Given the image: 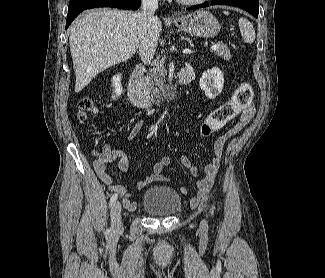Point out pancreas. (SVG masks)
<instances>
[{
    "label": "pancreas",
    "mask_w": 325,
    "mask_h": 278,
    "mask_svg": "<svg viewBox=\"0 0 325 278\" xmlns=\"http://www.w3.org/2000/svg\"><path fill=\"white\" fill-rule=\"evenodd\" d=\"M214 53L226 61H229L231 58L230 49L224 44L215 49ZM165 76L166 69L164 64L160 63L152 68L143 80L144 93L153 103H160L161 97L166 96Z\"/></svg>",
    "instance_id": "pancreas-1"
}]
</instances>
